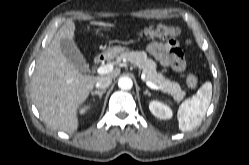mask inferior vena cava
I'll use <instances>...</instances> for the list:
<instances>
[{"label": "inferior vena cava", "mask_w": 249, "mask_h": 165, "mask_svg": "<svg viewBox=\"0 0 249 165\" xmlns=\"http://www.w3.org/2000/svg\"><path fill=\"white\" fill-rule=\"evenodd\" d=\"M112 83V78L111 77H100L98 78L97 82H96V88L98 89H106L108 88Z\"/></svg>", "instance_id": "602c4592"}]
</instances>
